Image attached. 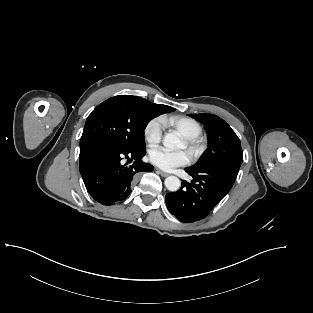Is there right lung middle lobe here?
I'll list each match as a JSON object with an SVG mask.
<instances>
[{
	"label": "right lung middle lobe",
	"mask_w": 313,
	"mask_h": 313,
	"mask_svg": "<svg viewBox=\"0 0 313 313\" xmlns=\"http://www.w3.org/2000/svg\"><path fill=\"white\" fill-rule=\"evenodd\" d=\"M161 115L153 103L136 96L119 95L100 105L88 116L80 145L96 139L145 147L144 130L150 120Z\"/></svg>",
	"instance_id": "obj_1"
}]
</instances>
